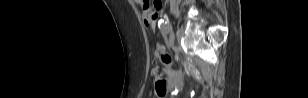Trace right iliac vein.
I'll use <instances>...</instances> for the list:
<instances>
[{
  "label": "right iliac vein",
  "mask_w": 308,
  "mask_h": 98,
  "mask_svg": "<svg viewBox=\"0 0 308 98\" xmlns=\"http://www.w3.org/2000/svg\"><path fill=\"white\" fill-rule=\"evenodd\" d=\"M168 33H169V46L171 47L174 45V40H175L174 32L171 26L168 27Z\"/></svg>",
  "instance_id": "right-iliac-vein-1"
}]
</instances>
